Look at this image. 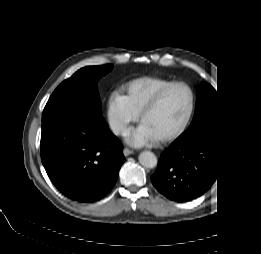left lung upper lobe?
Returning a JSON list of instances; mask_svg holds the SVG:
<instances>
[{
    "instance_id": "5c2ea615",
    "label": "left lung upper lobe",
    "mask_w": 261,
    "mask_h": 254,
    "mask_svg": "<svg viewBox=\"0 0 261 254\" xmlns=\"http://www.w3.org/2000/svg\"><path fill=\"white\" fill-rule=\"evenodd\" d=\"M223 103L218 92L209 84H202L197 91L194 118L183 136H197L202 132L220 129L226 130V118L223 116Z\"/></svg>"
}]
</instances>
